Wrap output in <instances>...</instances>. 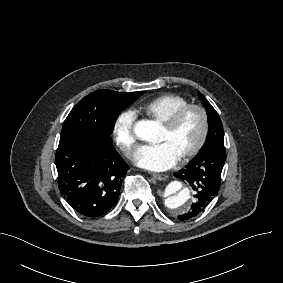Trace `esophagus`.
I'll use <instances>...</instances> for the list:
<instances>
[{
    "label": "esophagus",
    "mask_w": 283,
    "mask_h": 283,
    "mask_svg": "<svg viewBox=\"0 0 283 283\" xmlns=\"http://www.w3.org/2000/svg\"><path fill=\"white\" fill-rule=\"evenodd\" d=\"M152 176L156 179V180H165L168 178V176L166 174H157V173H153Z\"/></svg>",
    "instance_id": "34e87169"
}]
</instances>
